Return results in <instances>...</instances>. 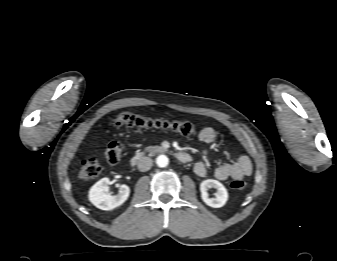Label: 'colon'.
<instances>
[{
    "instance_id": "1",
    "label": "colon",
    "mask_w": 337,
    "mask_h": 261,
    "mask_svg": "<svg viewBox=\"0 0 337 261\" xmlns=\"http://www.w3.org/2000/svg\"><path fill=\"white\" fill-rule=\"evenodd\" d=\"M114 125L116 127H137L154 128L168 130L178 133L182 136H194L197 133V127L187 121H170L165 119L149 118L130 113H122L115 117ZM123 155V145L118 141H112L104 149V156L109 164H117ZM104 172L102 165L94 158H87L81 162L79 177L83 180H91L101 176ZM234 190H243L246 182L243 179H234L230 183Z\"/></svg>"
}]
</instances>
